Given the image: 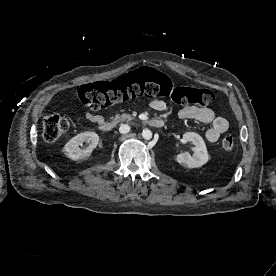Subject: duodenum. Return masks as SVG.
<instances>
[{"label":"duodenum","instance_id":"duodenum-1","mask_svg":"<svg viewBox=\"0 0 276 276\" xmlns=\"http://www.w3.org/2000/svg\"><path fill=\"white\" fill-rule=\"evenodd\" d=\"M146 123L154 128H161L164 126V121L161 119H148ZM115 124L111 121H104L100 124V130L105 133H109L113 130Z\"/></svg>","mask_w":276,"mask_h":276}]
</instances>
